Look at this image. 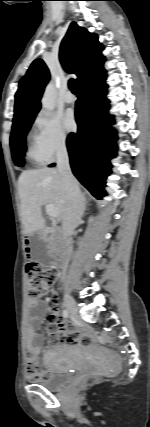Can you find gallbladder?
I'll list each match as a JSON object with an SVG mask.
<instances>
[{
	"instance_id": "obj_1",
	"label": "gallbladder",
	"mask_w": 150,
	"mask_h": 427,
	"mask_svg": "<svg viewBox=\"0 0 150 427\" xmlns=\"http://www.w3.org/2000/svg\"><path fill=\"white\" fill-rule=\"evenodd\" d=\"M31 257L44 266L53 263V255L48 251V244L38 234L31 237Z\"/></svg>"
}]
</instances>
